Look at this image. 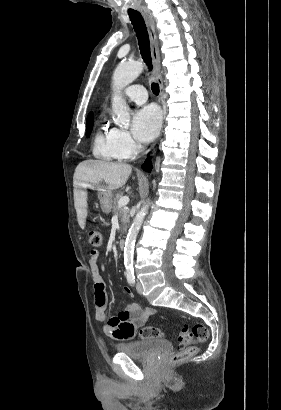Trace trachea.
I'll use <instances>...</instances> for the list:
<instances>
[{"label": "trachea", "instance_id": "obj_1", "mask_svg": "<svg viewBox=\"0 0 281 410\" xmlns=\"http://www.w3.org/2000/svg\"><path fill=\"white\" fill-rule=\"evenodd\" d=\"M129 17L132 22L133 28L136 32L141 56L146 65L148 66L149 70L151 71L152 60L150 54V42L143 17L138 11L129 12ZM151 89L155 95L159 94V85L157 83L153 82L151 84Z\"/></svg>", "mask_w": 281, "mask_h": 410}]
</instances>
